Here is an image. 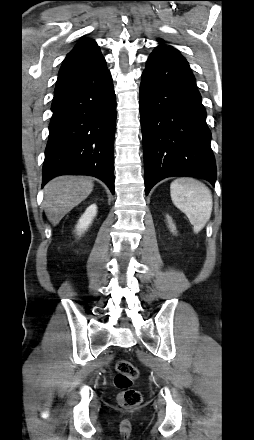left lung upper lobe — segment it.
Masks as SVG:
<instances>
[{
	"label": "left lung upper lobe",
	"instance_id": "obj_1",
	"mask_svg": "<svg viewBox=\"0 0 254 440\" xmlns=\"http://www.w3.org/2000/svg\"><path fill=\"white\" fill-rule=\"evenodd\" d=\"M158 42H160V45L155 49V50H157V49H165V50H172V51H174V52H177V53H179L176 49H174L173 47H171V46H167V45H165V44H163V40H158Z\"/></svg>",
	"mask_w": 254,
	"mask_h": 440
}]
</instances>
